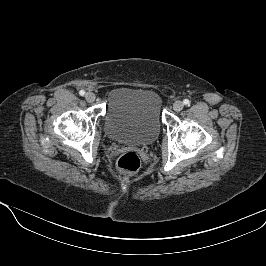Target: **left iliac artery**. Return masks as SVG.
Returning a JSON list of instances; mask_svg holds the SVG:
<instances>
[{"label":"left iliac artery","instance_id":"left-iliac-artery-1","mask_svg":"<svg viewBox=\"0 0 266 266\" xmlns=\"http://www.w3.org/2000/svg\"><path fill=\"white\" fill-rule=\"evenodd\" d=\"M183 103L186 105V106H189L190 105V101L188 99H184L183 100Z\"/></svg>","mask_w":266,"mask_h":266}]
</instances>
